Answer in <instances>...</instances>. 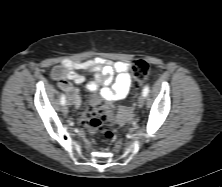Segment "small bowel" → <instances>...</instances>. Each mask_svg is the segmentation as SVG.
I'll use <instances>...</instances> for the list:
<instances>
[{
	"mask_svg": "<svg viewBox=\"0 0 222 187\" xmlns=\"http://www.w3.org/2000/svg\"><path fill=\"white\" fill-rule=\"evenodd\" d=\"M129 68V64L125 61L112 62L104 58H94L84 62L64 60L52 69L51 77L58 82V86L62 90L69 94L70 103L75 108H79L81 105L79 91L70 82L80 85L86 79L77 71L94 73L95 79L87 83L86 89L92 93L100 91L102 97L112 102L121 100L128 94L131 83ZM115 73L116 79L111 86L112 77ZM127 113V110L120 109L117 115H126Z\"/></svg>",
	"mask_w": 222,
	"mask_h": 187,
	"instance_id": "1",
	"label": "small bowel"
}]
</instances>
